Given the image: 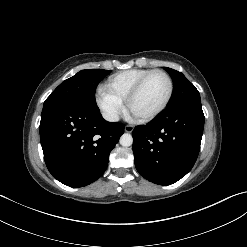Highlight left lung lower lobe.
Instances as JSON below:
<instances>
[{
	"mask_svg": "<svg viewBox=\"0 0 247 247\" xmlns=\"http://www.w3.org/2000/svg\"><path fill=\"white\" fill-rule=\"evenodd\" d=\"M204 128L201 101L192 100L167 107L147 125L132 133L134 161L145 179L170 185L184 177L199 154Z\"/></svg>",
	"mask_w": 247,
	"mask_h": 247,
	"instance_id": "1",
	"label": "left lung lower lobe"
}]
</instances>
